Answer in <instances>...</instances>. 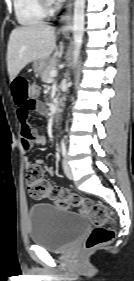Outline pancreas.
<instances>
[{
    "label": "pancreas",
    "instance_id": "pancreas-1",
    "mask_svg": "<svg viewBox=\"0 0 134 281\" xmlns=\"http://www.w3.org/2000/svg\"><path fill=\"white\" fill-rule=\"evenodd\" d=\"M56 69V61L54 59L49 61L47 67L41 72V79L43 82H48L50 77V72Z\"/></svg>",
    "mask_w": 134,
    "mask_h": 281
}]
</instances>
